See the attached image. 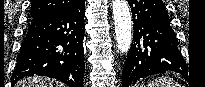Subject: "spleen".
Wrapping results in <instances>:
<instances>
[{
  "label": "spleen",
  "instance_id": "1",
  "mask_svg": "<svg viewBox=\"0 0 205 87\" xmlns=\"http://www.w3.org/2000/svg\"><path fill=\"white\" fill-rule=\"evenodd\" d=\"M148 87H180L172 78L165 77L162 79H156L148 84Z\"/></svg>",
  "mask_w": 205,
  "mask_h": 87
}]
</instances>
